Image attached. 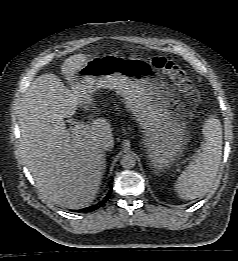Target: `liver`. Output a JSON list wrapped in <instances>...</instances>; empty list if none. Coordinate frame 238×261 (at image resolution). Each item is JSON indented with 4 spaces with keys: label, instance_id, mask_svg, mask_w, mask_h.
<instances>
[{
    "label": "liver",
    "instance_id": "6515ba94",
    "mask_svg": "<svg viewBox=\"0 0 238 261\" xmlns=\"http://www.w3.org/2000/svg\"><path fill=\"white\" fill-rule=\"evenodd\" d=\"M77 54L66 59L61 72L67 88L55 74L38 76L25 92L19 109L20 149L41 195L70 209L93 202L106 167L101 144L113 147L110 123L93 120L89 129L75 135L64 118L72 117L77 106L88 109L91 97L72 86L74 75L87 62Z\"/></svg>",
    "mask_w": 238,
    "mask_h": 261
}]
</instances>
